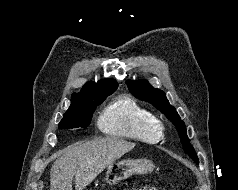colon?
Instances as JSON below:
<instances>
[{
  "label": "colon",
  "mask_w": 238,
  "mask_h": 190,
  "mask_svg": "<svg viewBox=\"0 0 238 190\" xmlns=\"http://www.w3.org/2000/svg\"><path fill=\"white\" fill-rule=\"evenodd\" d=\"M132 190H157V189L154 187L144 186V187H136Z\"/></svg>",
  "instance_id": "obj_1"
}]
</instances>
